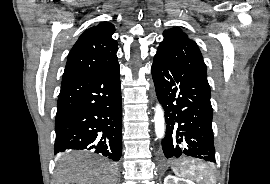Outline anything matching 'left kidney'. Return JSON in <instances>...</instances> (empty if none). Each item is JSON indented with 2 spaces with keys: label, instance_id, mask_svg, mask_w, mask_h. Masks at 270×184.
<instances>
[{
  "label": "left kidney",
  "instance_id": "left-kidney-1",
  "mask_svg": "<svg viewBox=\"0 0 270 184\" xmlns=\"http://www.w3.org/2000/svg\"><path fill=\"white\" fill-rule=\"evenodd\" d=\"M164 184H195L188 179H181L172 175H168L164 179Z\"/></svg>",
  "mask_w": 270,
  "mask_h": 184
}]
</instances>
